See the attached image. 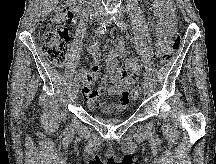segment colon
<instances>
[{
	"mask_svg": "<svg viewBox=\"0 0 216 164\" xmlns=\"http://www.w3.org/2000/svg\"><path fill=\"white\" fill-rule=\"evenodd\" d=\"M72 22V13L67 5L59 6L51 20L48 23L47 30L44 34V44L42 52L46 59L52 64L62 67L66 64L69 55L68 31ZM181 36L176 22L172 25L168 40L161 55V62L168 63L173 57L175 51L180 47ZM96 79V72L90 71L82 74V82L92 85ZM141 87H135L130 95L137 99L140 95Z\"/></svg>",
	"mask_w": 216,
	"mask_h": 164,
	"instance_id": "colon-1",
	"label": "colon"
}]
</instances>
